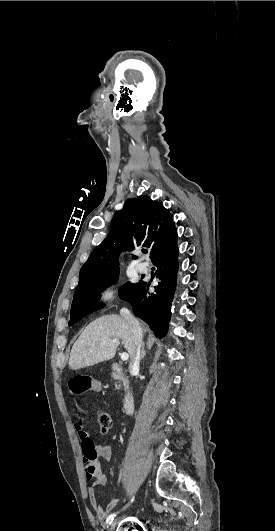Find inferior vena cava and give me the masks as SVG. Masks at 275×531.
<instances>
[{"instance_id": "1", "label": "inferior vena cava", "mask_w": 275, "mask_h": 531, "mask_svg": "<svg viewBox=\"0 0 275 531\" xmlns=\"http://www.w3.org/2000/svg\"><path fill=\"white\" fill-rule=\"evenodd\" d=\"M122 317L127 319L128 323L131 325L132 331V345L130 351V363L129 369L131 375H135L139 371L141 347H142V329L137 321L132 315H130L128 309H121L120 311Z\"/></svg>"}]
</instances>
